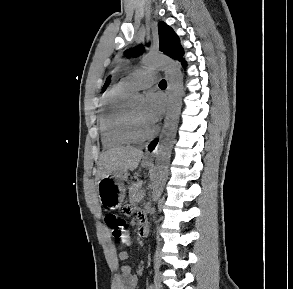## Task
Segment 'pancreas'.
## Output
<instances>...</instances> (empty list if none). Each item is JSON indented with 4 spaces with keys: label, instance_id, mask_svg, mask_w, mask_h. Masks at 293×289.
Returning <instances> with one entry per match:
<instances>
[{
    "label": "pancreas",
    "instance_id": "obj_1",
    "mask_svg": "<svg viewBox=\"0 0 293 289\" xmlns=\"http://www.w3.org/2000/svg\"><path fill=\"white\" fill-rule=\"evenodd\" d=\"M142 182H138L130 186L129 188V198L132 201H137L143 196V191L141 190Z\"/></svg>",
    "mask_w": 293,
    "mask_h": 289
}]
</instances>
